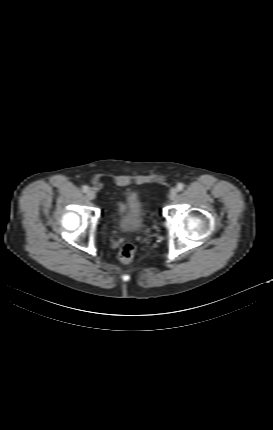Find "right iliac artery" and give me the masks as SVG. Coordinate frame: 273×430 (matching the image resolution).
Returning a JSON list of instances; mask_svg holds the SVG:
<instances>
[{
	"mask_svg": "<svg viewBox=\"0 0 273 430\" xmlns=\"http://www.w3.org/2000/svg\"><path fill=\"white\" fill-rule=\"evenodd\" d=\"M88 190H89V187L88 186H83L82 187V191L84 192V193H86V192H88Z\"/></svg>",
	"mask_w": 273,
	"mask_h": 430,
	"instance_id": "right-iliac-artery-1",
	"label": "right iliac artery"
}]
</instances>
